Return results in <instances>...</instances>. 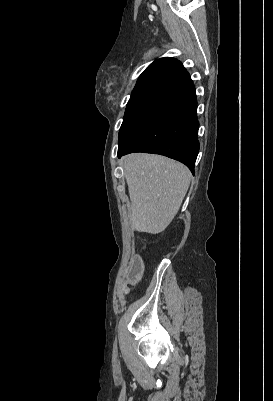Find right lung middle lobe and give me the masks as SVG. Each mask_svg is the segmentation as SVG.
<instances>
[{"label":"right lung middle lobe","instance_id":"1","mask_svg":"<svg viewBox=\"0 0 273 401\" xmlns=\"http://www.w3.org/2000/svg\"><path fill=\"white\" fill-rule=\"evenodd\" d=\"M168 99L169 97L167 96L155 94L131 96L127 103L123 123L119 131V147L128 140L142 122Z\"/></svg>","mask_w":273,"mask_h":401}]
</instances>
